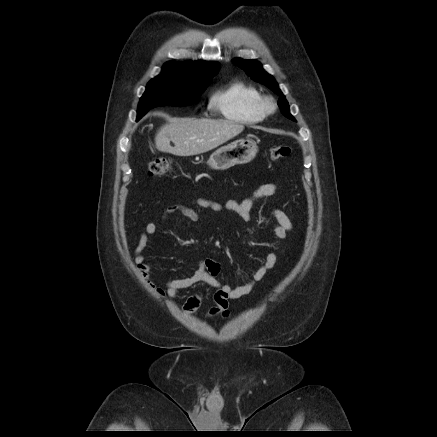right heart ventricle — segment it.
<instances>
[{"label":"right heart ventricle","mask_w":437,"mask_h":437,"mask_svg":"<svg viewBox=\"0 0 437 437\" xmlns=\"http://www.w3.org/2000/svg\"><path fill=\"white\" fill-rule=\"evenodd\" d=\"M261 98L256 88L241 81H233L212 94L210 106L230 121L256 124L265 117L260 107Z\"/></svg>","instance_id":"e07e8e85"}]
</instances>
